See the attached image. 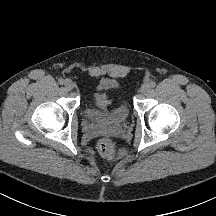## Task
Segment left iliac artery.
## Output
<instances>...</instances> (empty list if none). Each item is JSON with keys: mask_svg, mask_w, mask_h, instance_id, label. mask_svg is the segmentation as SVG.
<instances>
[{"mask_svg": "<svg viewBox=\"0 0 216 216\" xmlns=\"http://www.w3.org/2000/svg\"><path fill=\"white\" fill-rule=\"evenodd\" d=\"M156 86V83L154 82V81H152L151 83H150V87L151 88H154Z\"/></svg>", "mask_w": 216, "mask_h": 216, "instance_id": "obj_1", "label": "left iliac artery"}]
</instances>
